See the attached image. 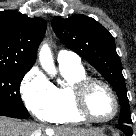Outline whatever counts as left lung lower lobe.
<instances>
[{
  "mask_svg": "<svg viewBox=\"0 0 136 136\" xmlns=\"http://www.w3.org/2000/svg\"><path fill=\"white\" fill-rule=\"evenodd\" d=\"M116 127L123 131L126 134V136L132 135L131 127L128 124H118Z\"/></svg>",
  "mask_w": 136,
  "mask_h": 136,
  "instance_id": "0a47b994",
  "label": "left lung lower lobe"
}]
</instances>
